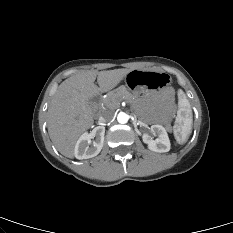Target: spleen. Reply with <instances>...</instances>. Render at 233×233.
Masks as SVG:
<instances>
[{
	"instance_id": "1",
	"label": "spleen",
	"mask_w": 233,
	"mask_h": 233,
	"mask_svg": "<svg viewBox=\"0 0 233 233\" xmlns=\"http://www.w3.org/2000/svg\"><path fill=\"white\" fill-rule=\"evenodd\" d=\"M178 111L174 125V136L178 143L184 144L191 133L193 116L190 103L182 90L178 91Z\"/></svg>"
}]
</instances>
